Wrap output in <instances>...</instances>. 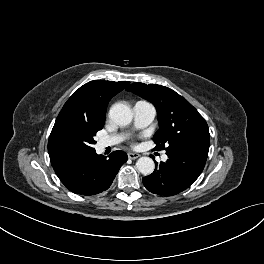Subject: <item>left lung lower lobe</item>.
Instances as JSON below:
<instances>
[{
	"mask_svg": "<svg viewBox=\"0 0 264 264\" xmlns=\"http://www.w3.org/2000/svg\"><path fill=\"white\" fill-rule=\"evenodd\" d=\"M168 160L156 163L152 174L143 177L147 190L154 194L172 196L191 186L204 169L207 156L188 148L166 153Z\"/></svg>",
	"mask_w": 264,
	"mask_h": 264,
	"instance_id": "obj_1",
	"label": "left lung lower lobe"
}]
</instances>
